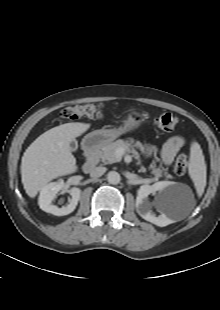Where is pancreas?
Masks as SVG:
<instances>
[{
	"label": "pancreas",
	"instance_id": "pancreas-1",
	"mask_svg": "<svg viewBox=\"0 0 220 310\" xmlns=\"http://www.w3.org/2000/svg\"><path fill=\"white\" fill-rule=\"evenodd\" d=\"M134 146L141 147V143L138 141L134 143V140L124 141L122 139H119L115 142L109 143L106 146H104L102 150L99 151L98 157L104 164H112L115 162H119L121 160V156H118L116 154L117 149L123 148L124 150L129 152L130 148ZM149 169H151L152 174L157 177H160L164 174L167 178H172V176L168 174L163 168L160 167L156 168L155 165H150Z\"/></svg>",
	"mask_w": 220,
	"mask_h": 310
}]
</instances>
